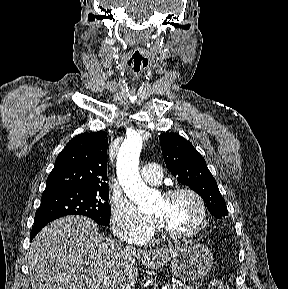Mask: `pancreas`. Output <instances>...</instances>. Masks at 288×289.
Segmentation results:
<instances>
[{"label": "pancreas", "instance_id": "1", "mask_svg": "<svg viewBox=\"0 0 288 289\" xmlns=\"http://www.w3.org/2000/svg\"><path fill=\"white\" fill-rule=\"evenodd\" d=\"M201 287L200 284H196L195 286L182 285V286H169L168 289H199Z\"/></svg>", "mask_w": 288, "mask_h": 289}]
</instances>
